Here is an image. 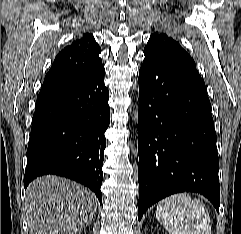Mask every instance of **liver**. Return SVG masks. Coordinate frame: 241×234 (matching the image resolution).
Instances as JSON below:
<instances>
[{
  "instance_id": "6515ba94",
  "label": "liver",
  "mask_w": 241,
  "mask_h": 234,
  "mask_svg": "<svg viewBox=\"0 0 241 234\" xmlns=\"http://www.w3.org/2000/svg\"><path fill=\"white\" fill-rule=\"evenodd\" d=\"M25 201L30 234H76L92 221L98 205L89 189L54 175L32 181Z\"/></svg>"
}]
</instances>
